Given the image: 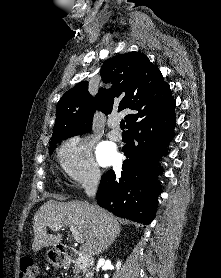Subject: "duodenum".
Here are the masks:
<instances>
[{
  "label": "duodenum",
  "mask_w": 221,
  "mask_h": 278,
  "mask_svg": "<svg viewBox=\"0 0 221 278\" xmlns=\"http://www.w3.org/2000/svg\"><path fill=\"white\" fill-rule=\"evenodd\" d=\"M57 251L64 263L77 264L82 268H88L92 263L91 259L77 248L61 244L57 246Z\"/></svg>",
  "instance_id": "410a0bca"
}]
</instances>
